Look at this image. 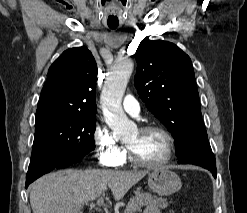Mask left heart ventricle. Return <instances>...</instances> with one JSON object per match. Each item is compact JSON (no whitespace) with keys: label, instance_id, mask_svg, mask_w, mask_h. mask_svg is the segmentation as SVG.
<instances>
[{"label":"left heart ventricle","instance_id":"left-heart-ventricle-1","mask_svg":"<svg viewBox=\"0 0 247 213\" xmlns=\"http://www.w3.org/2000/svg\"><path fill=\"white\" fill-rule=\"evenodd\" d=\"M136 156L149 163H156L163 159L166 153V140L157 131L141 133L136 130L126 141Z\"/></svg>","mask_w":247,"mask_h":213}]
</instances>
